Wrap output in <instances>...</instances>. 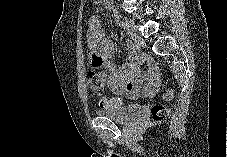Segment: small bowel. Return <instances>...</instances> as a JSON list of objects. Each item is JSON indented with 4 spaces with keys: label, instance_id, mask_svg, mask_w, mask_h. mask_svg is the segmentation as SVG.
Here are the masks:
<instances>
[{
    "label": "small bowel",
    "instance_id": "small-bowel-1",
    "mask_svg": "<svg viewBox=\"0 0 227 157\" xmlns=\"http://www.w3.org/2000/svg\"><path fill=\"white\" fill-rule=\"evenodd\" d=\"M87 44L91 64L108 71V75L100 74L104 88L107 87L112 93L125 95L128 98L148 96L156 91L159 77L155 66L148 64V69L143 74L141 70L143 59L132 44L127 46L130 62L120 70L116 68L111 60L115 54L114 46L105 36L101 22L97 17H92L89 21ZM93 62L101 63L95 64Z\"/></svg>",
    "mask_w": 227,
    "mask_h": 157
}]
</instances>
